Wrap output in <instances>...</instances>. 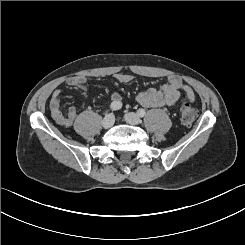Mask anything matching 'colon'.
Wrapping results in <instances>:
<instances>
[{
	"label": "colon",
	"mask_w": 245,
	"mask_h": 245,
	"mask_svg": "<svg viewBox=\"0 0 245 245\" xmlns=\"http://www.w3.org/2000/svg\"><path fill=\"white\" fill-rule=\"evenodd\" d=\"M196 109L187 101H183L181 105V121L185 125H191L197 118Z\"/></svg>",
	"instance_id": "1"
}]
</instances>
